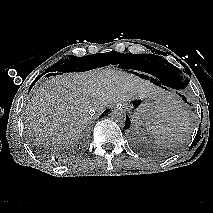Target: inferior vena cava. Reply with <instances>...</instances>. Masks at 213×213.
I'll list each match as a JSON object with an SVG mask.
<instances>
[{"label":"inferior vena cava","mask_w":213,"mask_h":213,"mask_svg":"<svg viewBox=\"0 0 213 213\" xmlns=\"http://www.w3.org/2000/svg\"><path fill=\"white\" fill-rule=\"evenodd\" d=\"M88 114H89L90 116H93V115L95 114V111H94L93 109H90V110L88 111Z\"/></svg>","instance_id":"1"}]
</instances>
